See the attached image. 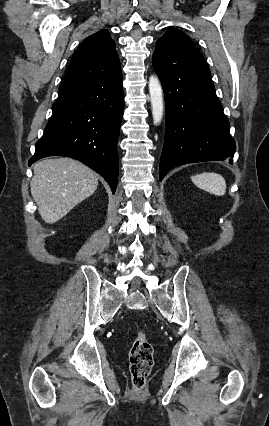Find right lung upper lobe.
Returning a JSON list of instances; mask_svg holds the SVG:
<instances>
[{"label":"right lung upper lobe","instance_id":"1","mask_svg":"<svg viewBox=\"0 0 269 426\" xmlns=\"http://www.w3.org/2000/svg\"><path fill=\"white\" fill-rule=\"evenodd\" d=\"M121 70L115 43L108 30L87 37L73 54L62 84L95 80Z\"/></svg>","mask_w":269,"mask_h":426}]
</instances>
